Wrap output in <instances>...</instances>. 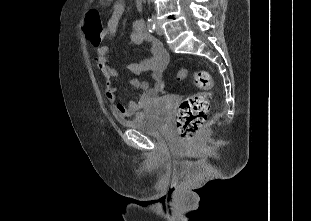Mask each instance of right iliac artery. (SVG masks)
Wrapping results in <instances>:
<instances>
[{"label": "right iliac artery", "mask_w": 311, "mask_h": 221, "mask_svg": "<svg viewBox=\"0 0 311 221\" xmlns=\"http://www.w3.org/2000/svg\"><path fill=\"white\" fill-rule=\"evenodd\" d=\"M147 28L150 33H153L155 30V22L153 20H148Z\"/></svg>", "instance_id": "right-iliac-artery-1"}]
</instances>
